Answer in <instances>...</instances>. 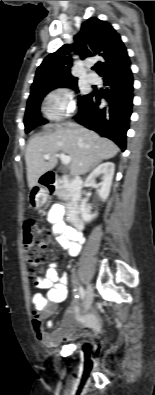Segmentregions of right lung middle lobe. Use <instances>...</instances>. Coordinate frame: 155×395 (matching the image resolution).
Returning a JSON list of instances; mask_svg holds the SVG:
<instances>
[{"mask_svg": "<svg viewBox=\"0 0 155 395\" xmlns=\"http://www.w3.org/2000/svg\"><path fill=\"white\" fill-rule=\"evenodd\" d=\"M57 87H70V88H73L74 90L78 91L77 90V79L47 86L29 98V100L27 102V108H26L25 119H24L26 132L31 131L36 126L46 123V121L41 117V114H40V103L49 91H51L52 89L57 88ZM83 97L84 96H82L79 100H81Z\"/></svg>", "mask_w": 155, "mask_h": 395, "instance_id": "dd1d6c3e", "label": "right lung middle lobe"}]
</instances>
